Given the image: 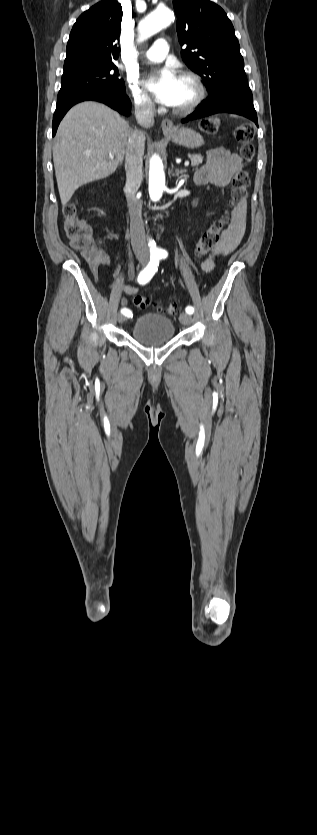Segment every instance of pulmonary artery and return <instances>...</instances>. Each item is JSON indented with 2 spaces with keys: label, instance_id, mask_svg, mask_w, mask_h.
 Returning <instances> with one entry per match:
<instances>
[{
  "label": "pulmonary artery",
  "instance_id": "obj_1",
  "mask_svg": "<svg viewBox=\"0 0 317 835\" xmlns=\"http://www.w3.org/2000/svg\"><path fill=\"white\" fill-rule=\"evenodd\" d=\"M169 51V45L163 38L157 39L154 44L144 53L147 60L152 62L162 61Z\"/></svg>",
  "mask_w": 317,
  "mask_h": 835
}]
</instances>
